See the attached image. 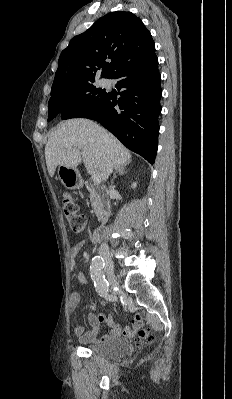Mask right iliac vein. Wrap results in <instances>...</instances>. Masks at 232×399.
Listing matches in <instances>:
<instances>
[{"instance_id":"63e3f726","label":"right iliac vein","mask_w":232,"mask_h":399,"mask_svg":"<svg viewBox=\"0 0 232 399\" xmlns=\"http://www.w3.org/2000/svg\"><path fill=\"white\" fill-rule=\"evenodd\" d=\"M105 262L106 265H104V273H107V277H109L111 285L119 286L118 280L114 275L113 261H105Z\"/></svg>"}]
</instances>
